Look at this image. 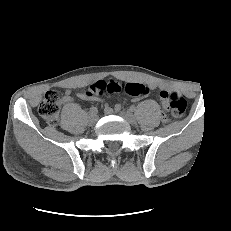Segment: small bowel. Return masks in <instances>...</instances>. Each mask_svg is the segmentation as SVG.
Segmentation results:
<instances>
[{"label":"small bowel","instance_id":"obj_1","mask_svg":"<svg viewBox=\"0 0 231 231\" xmlns=\"http://www.w3.org/2000/svg\"><path fill=\"white\" fill-rule=\"evenodd\" d=\"M146 87H148V89H149V91H150V89H156V88H158L159 86H158L157 84H155V83H151L149 86H146ZM148 94H149V92H148ZM148 94H147V95H148ZM147 95H145V96H147ZM79 96H80V97H84V96H86V95H85V94H79ZM145 96H143V97H145ZM135 98H136V99H139V98H142V97H135ZM65 100H66V101H71V100H72V97H71L70 95H66ZM119 108H120L119 105H115L114 107L106 106L105 110H106L107 113H112V112L118 111Z\"/></svg>","mask_w":231,"mask_h":231}]
</instances>
